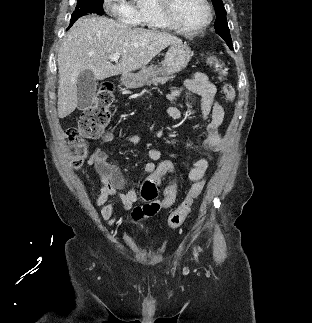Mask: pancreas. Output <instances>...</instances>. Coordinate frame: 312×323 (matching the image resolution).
Here are the masks:
<instances>
[{
	"instance_id": "cf45deb5",
	"label": "pancreas",
	"mask_w": 312,
	"mask_h": 323,
	"mask_svg": "<svg viewBox=\"0 0 312 323\" xmlns=\"http://www.w3.org/2000/svg\"><path fill=\"white\" fill-rule=\"evenodd\" d=\"M172 78H175V76H164V78H158L156 74H153L150 80H147L146 84L147 86H151V84L158 86V84H166V82H168V80H172Z\"/></svg>"
}]
</instances>
